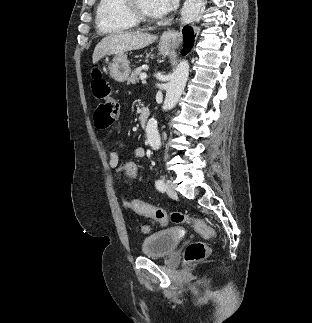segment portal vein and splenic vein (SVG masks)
<instances>
[{"label": "portal vein and splenic vein", "instance_id": "portal-vein-and-splenic-vein-1", "mask_svg": "<svg viewBox=\"0 0 312 323\" xmlns=\"http://www.w3.org/2000/svg\"><path fill=\"white\" fill-rule=\"evenodd\" d=\"M146 78V74H140V80H142V82H145Z\"/></svg>", "mask_w": 312, "mask_h": 323}]
</instances>
